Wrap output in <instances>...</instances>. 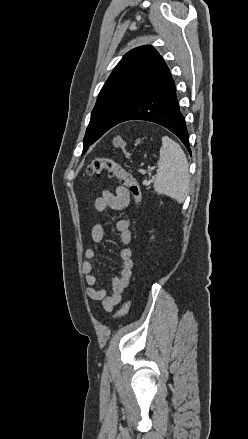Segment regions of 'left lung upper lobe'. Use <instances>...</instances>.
<instances>
[{
	"label": "left lung upper lobe",
	"instance_id": "obj_1",
	"mask_svg": "<svg viewBox=\"0 0 248 439\" xmlns=\"http://www.w3.org/2000/svg\"><path fill=\"white\" fill-rule=\"evenodd\" d=\"M166 68L163 58L150 45L123 56L98 95L83 140V154L131 111Z\"/></svg>",
	"mask_w": 248,
	"mask_h": 439
}]
</instances>
